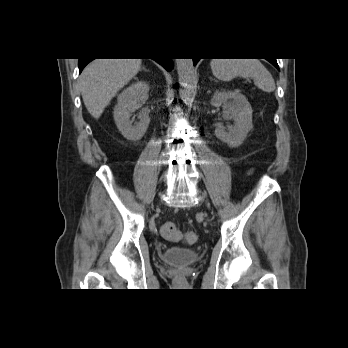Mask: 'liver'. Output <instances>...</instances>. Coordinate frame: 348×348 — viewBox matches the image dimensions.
Segmentation results:
<instances>
[{"label":"liver","instance_id":"obj_1","mask_svg":"<svg viewBox=\"0 0 348 348\" xmlns=\"http://www.w3.org/2000/svg\"><path fill=\"white\" fill-rule=\"evenodd\" d=\"M141 69V59H95L85 67L79 86L88 112L96 119L117 92Z\"/></svg>","mask_w":348,"mask_h":348}]
</instances>
